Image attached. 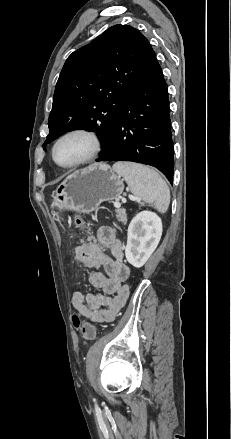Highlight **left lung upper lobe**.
Masks as SVG:
<instances>
[{"label":"left lung upper lobe","mask_w":231,"mask_h":439,"mask_svg":"<svg viewBox=\"0 0 231 439\" xmlns=\"http://www.w3.org/2000/svg\"><path fill=\"white\" fill-rule=\"evenodd\" d=\"M152 52L148 40L128 25L112 26L74 51L56 84L44 150L75 129L96 131L104 147Z\"/></svg>","instance_id":"obj_1"}]
</instances>
